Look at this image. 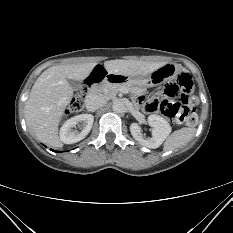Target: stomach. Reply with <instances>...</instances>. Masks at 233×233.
I'll return each instance as SVG.
<instances>
[{
  "label": "stomach",
  "instance_id": "stomach-1",
  "mask_svg": "<svg viewBox=\"0 0 233 233\" xmlns=\"http://www.w3.org/2000/svg\"><path fill=\"white\" fill-rule=\"evenodd\" d=\"M180 72V67L173 63H166L157 70L146 76H125L120 74H114V81L120 82V84H126L127 86L135 89H142L151 85H162L164 82L173 80Z\"/></svg>",
  "mask_w": 233,
  "mask_h": 233
}]
</instances>
